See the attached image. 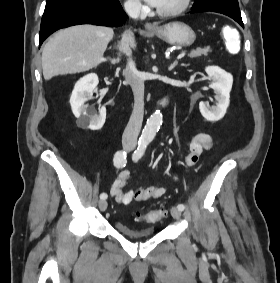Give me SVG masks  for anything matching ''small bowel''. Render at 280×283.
<instances>
[{
    "instance_id": "c3829d8e",
    "label": "small bowel",
    "mask_w": 280,
    "mask_h": 283,
    "mask_svg": "<svg viewBox=\"0 0 280 283\" xmlns=\"http://www.w3.org/2000/svg\"><path fill=\"white\" fill-rule=\"evenodd\" d=\"M213 145V138L205 132L197 133L191 140L189 152L183 156V161L187 168L195 165L201 154L209 150ZM131 176L128 170H123L113 181L110 187V195L119 204L129 205L135 201L141 202L148 199L160 198L165 189L157 186L137 187L135 189L124 190Z\"/></svg>"
}]
</instances>
